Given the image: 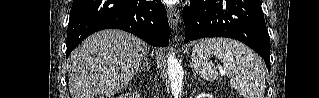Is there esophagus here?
Instances as JSON below:
<instances>
[{
    "instance_id": "esophagus-1",
    "label": "esophagus",
    "mask_w": 319,
    "mask_h": 98,
    "mask_svg": "<svg viewBox=\"0 0 319 98\" xmlns=\"http://www.w3.org/2000/svg\"><path fill=\"white\" fill-rule=\"evenodd\" d=\"M167 15H168V21L171 27L175 28L179 21H180V15H179V11L173 7V6H169L167 9ZM178 34L175 35V40L178 39Z\"/></svg>"
}]
</instances>
